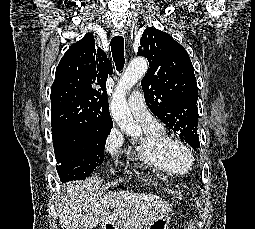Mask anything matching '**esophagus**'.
Returning a JSON list of instances; mask_svg holds the SVG:
<instances>
[{
	"mask_svg": "<svg viewBox=\"0 0 255 229\" xmlns=\"http://www.w3.org/2000/svg\"><path fill=\"white\" fill-rule=\"evenodd\" d=\"M116 34H117V35L124 36V35H125V30H124V28H123L122 26L118 27V28L116 29Z\"/></svg>",
	"mask_w": 255,
	"mask_h": 229,
	"instance_id": "obj_1",
	"label": "esophagus"
}]
</instances>
